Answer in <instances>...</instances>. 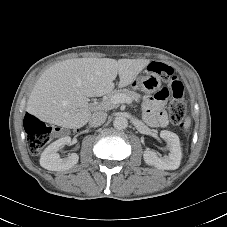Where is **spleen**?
I'll return each mask as SVG.
<instances>
[{
	"instance_id": "spleen-1",
	"label": "spleen",
	"mask_w": 227,
	"mask_h": 227,
	"mask_svg": "<svg viewBox=\"0 0 227 227\" xmlns=\"http://www.w3.org/2000/svg\"><path fill=\"white\" fill-rule=\"evenodd\" d=\"M190 124H191V121H190L189 118H187L186 121H185V124H184L185 129H188L190 127Z\"/></svg>"
}]
</instances>
